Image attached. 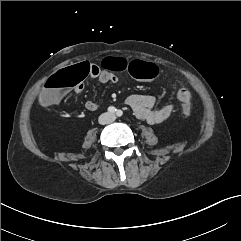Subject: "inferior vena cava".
<instances>
[{"label":"inferior vena cava","mask_w":241,"mask_h":241,"mask_svg":"<svg viewBox=\"0 0 241 241\" xmlns=\"http://www.w3.org/2000/svg\"><path fill=\"white\" fill-rule=\"evenodd\" d=\"M114 120H115L114 114H111L108 112L101 114L99 117L100 124H108L113 122Z\"/></svg>","instance_id":"1"}]
</instances>
